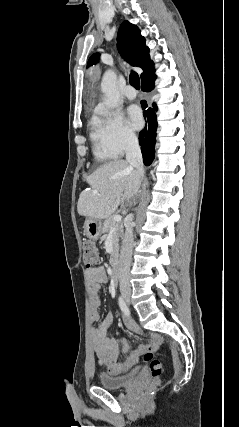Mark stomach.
Masks as SVG:
<instances>
[{
	"mask_svg": "<svg viewBox=\"0 0 239 427\" xmlns=\"http://www.w3.org/2000/svg\"><path fill=\"white\" fill-rule=\"evenodd\" d=\"M84 232L90 240H98L102 234V221L99 219L87 218L84 223Z\"/></svg>",
	"mask_w": 239,
	"mask_h": 427,
	"instance_id": "0dacf381",
	"label": "stomach"
}]
</instances>
